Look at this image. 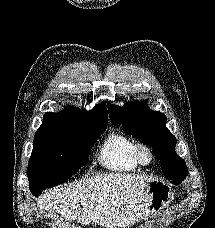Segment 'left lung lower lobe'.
Here are the masks:
<instances>
[{
	"mask_svg": "<svg viewBox=\"0 0 215 228\" xmlns=\"http://www.w3.org/2000/svg\"><path fill=\"white\" fill-rule=\"evenodd\" d=\"M180 183H181V182H173V184H177V185L180 184Z\"/></svg>",
	"mask_w": 215,
	"mask_h": 228,
	"instance_id": "left-lung-lower-lobe-1",
	"label": "left lung lower lobe"
}]
</instances>
